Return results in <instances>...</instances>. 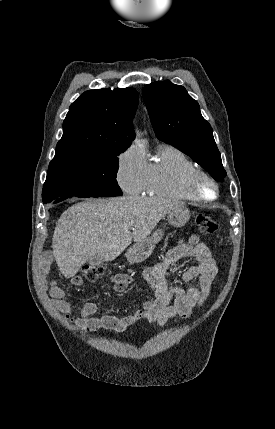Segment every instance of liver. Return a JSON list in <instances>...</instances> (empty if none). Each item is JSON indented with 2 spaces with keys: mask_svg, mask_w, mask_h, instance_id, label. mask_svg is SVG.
Wrapping results in <instances>:
<instances>
[{
  "mask_svg": "<svg viewBox=\"0 0 275 429\" xmlns=\"http://www.w3.org/2000/svg\"><path fill=\"white\" fill-rule=\"evenodd\" d=\"M179 206L172 200L135 196L90 198L72 205L60 216L52 238L60 272L71 278L94 257L113 261Z\"/></svg>",
  "mask_w": 275,
  "mask_h": 429,
  "instance_id": "6515ba94",
  "label": "liver"
}]
</instances>
